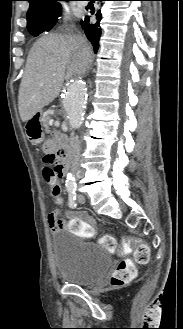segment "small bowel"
<instances>
[{
	"instance_id": "c3829d8e",
	"label": "small bowel",
	"mask_w": 183,
	"mask_h": 329,
	"mask_svg": "<svg viewBox=\"0 0 183 329\" xmlns=\"http://www.w3.org/2000/svg\"><path fill=\"white\" fill-rule=\"evenodd\" d=\"M56 140H47L44 143L43 150L45 154H54L56 151ZM71 216H75L84 220H69L68 226L72 236H84V242H93L99 227L95 225V220L84 212L68 213ZM48 227L51 234L66 229L67 224L65 219L61 218L58 211L51 212L47 217Z\"/></svg>"
}]
</instances>
